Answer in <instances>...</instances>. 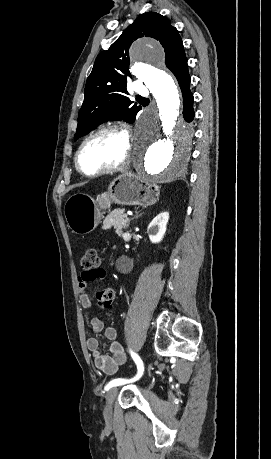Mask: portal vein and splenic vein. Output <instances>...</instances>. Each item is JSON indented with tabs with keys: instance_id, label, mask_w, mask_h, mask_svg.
<instances>
[{
	"instance_id": "1",
	"label": "portal vein and splenic vein",
	"mask_w": 271,
	"mask_h": 459,
	"mask_svg": "<svg viewBox=\"0 0 271 459\" xmlns=\"http://www.w3.org/2000/svg\"><path fill=\"white\" fill-rule=\"evenodd\" d=\"M130 215L127 214V212H124V214H122V217H128Z\"/></svg>"
}]
</instances>
